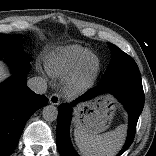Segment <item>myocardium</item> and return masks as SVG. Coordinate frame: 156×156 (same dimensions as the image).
I'll return each mask as SVG.
<instances>
[{"mask_svg":"<svg viewBox=\"0 0 156 156\" xmlns=\"http://www.w3.org/2000/svg\"><path fill=\"white\" fill-rule=\"evenodd\" d=\"M88 61H83L77 69L65 80L63 91L68 97H77L93 87L100 74L99 60L92 62V71L86 75Z\"/></svg>","mask_w":156,"mask_h":156,"instance_id":"f54148a6","label":"myocardium"}]
</instances>
